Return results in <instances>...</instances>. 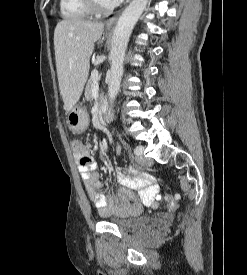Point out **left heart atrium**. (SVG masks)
<instances>
[{
    "mask_svg": "<svg viewBox=\"0 0 247 275\" xmlns=\"http://www.w3.org/2000/svg\"><path fill=\"white\" fill-rule=\"evenodd\" d=\"M123 0H111L112 2V5H117L119 4L120 2H122Z\"/></svg>",
    "mask_w": 247,
    "mask_h": 275,
    "instance_id": "39dd6f15",
    "label": "left heart atrium"
}]
</instances>
